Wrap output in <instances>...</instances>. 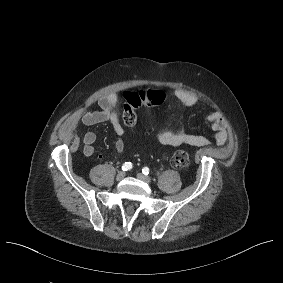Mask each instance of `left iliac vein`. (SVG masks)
Returning a JSON list of instances; mask_svg holds the SVG:
<instances>
[{
    "mask_svg": "<svg viewBox=\"0 0 283 283\" xmlns=\"http://www.w3.org/2000/svg\"><path fill=\"white\" fill-rule=\"evenodd\" d=\"M137 177H138V179H140L141 181H143V182H145L147 184L151 183V179L148 176H146V175H144L142 173H138Z\"/></svg>",
    "mask_w": 283,
    "mask_h": 283,
    "instance_id": "4c4485c4",
    "label": "left iliac vein"
}]
</instances>
